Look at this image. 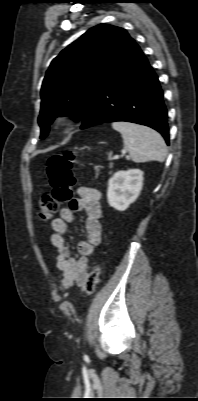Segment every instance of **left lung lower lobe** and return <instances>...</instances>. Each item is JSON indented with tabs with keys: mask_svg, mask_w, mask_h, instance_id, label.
Listing matches in <instances>:
<instances>
[{
	"mask_svg": "<svg viewBox=\"0 0 198 401\" xmlns=\"http://www.w3.org/2000/svg\"><path fill=\"white\" fill-rule=\"evenodd\" d=\"M114 121L149 126L169 144L167 110L158 77L137 44L95 97L81 129Z\"/></svg>",
	"mask_w": 198,
	"mask_h": 401,
	"instance_id": "0a47b994",
	"label": "left lung lower lobe"
}]
</instances>
